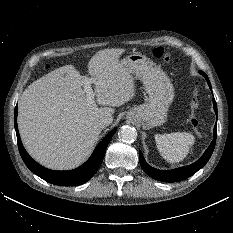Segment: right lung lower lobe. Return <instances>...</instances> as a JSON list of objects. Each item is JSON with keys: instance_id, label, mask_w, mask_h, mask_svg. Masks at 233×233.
<instances>
[{"instance_id": "obj_1", "label": "right lung lower lobe", "mask_w": 233, "mask_h": 233, "mask_svg": "<svg viewBox=\"0 0 233 233\" xmlns=\"http://www.w3.org/2000/svg\"><path fill=\"white\" fill-rule=\"evenodd\" d=\"M15 130L17 134V142L21 157L26 164V166L36 175L44 179L45 181L54 184V185H61V186H76L81 185L87 182L92 176L96 173L100 164L103 161L105 151L107 148L108 143L110 142L112 136L116 132V129L112 130L95 148L92 156L88 159L86 163L82 166L70 170V171H53L46 169L35 162L29 154L24 149L16 122L17 117V106L15 108Z\"/></svg>"}]
</instances>
